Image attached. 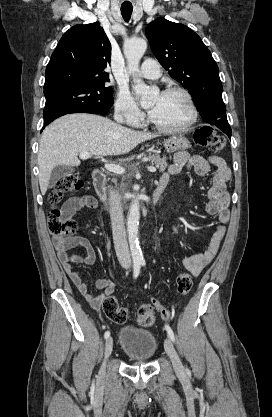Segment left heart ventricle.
Segmentation results:
<instances>
[{
    "label": "left heart ventricle",
    "mask_w": 272,
    "mask_h": 417,
    "mask_svg": "<svg viewBox=\"0 0 272 417\" xmlns=\"http://www.w3.org/2000/svg\"><path fill=\"white\" fill-rule=\"evenodd\" d=\"M152 119L165 127H179L190 118L186 100L178 94L158 95L149 105Z\"/></svg>",
    "instance_id": "b2bd125f"
}]
</instances>
